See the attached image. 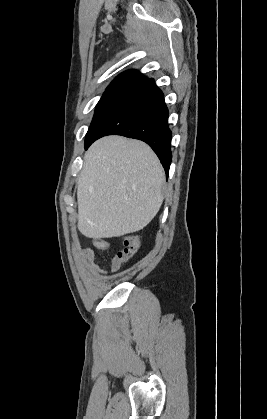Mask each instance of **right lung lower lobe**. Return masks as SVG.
Masks as SVG:
<instances>
[{
    "instance_id": "obj_1",
    "label": "right lung lower lobe",
    "mask_w": 267,
    "mask_h": 419,
    "mask_svg": "<svg viewBox=\"0 0 267 419\" xmlns=\"http://www.w3.org/2000/svg\"><path fill=\"white\" fill-rule=\"evenodd\" d=\"M106 135H122L146 142L157 154L168 176L172 133L168 128L164 95L153 79L128 93L108 112L85 149Z\"/></svg>"
}]
</instances>
